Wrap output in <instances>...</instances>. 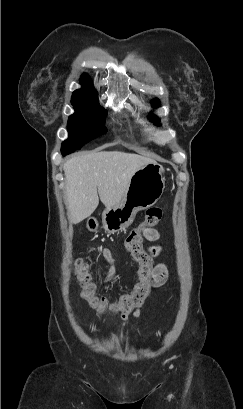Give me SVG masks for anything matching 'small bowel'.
Returning <instances> with one entry per match:
<instances>
[{"label":"small bowel","mask_w":243,"mask_h":409,"mask_svg":"<svg viewBox=\"0 0 243 409\" xmlns=\"http://www.w3.org/2000/svg\"><path fill=\"white\" fill-rule=\"evenodd\" d=\"M143 236L145 239L153 243V245L149 248V254H146L143 259L135 258L140 264V282L137 284V286H143L149 292L152 287L161 286L165 283L168 277V268L165 263L160 262L154 267L153 270L151 269L153 258L156 257L161 251L160 246L156 244L160 238L159 231L155 228H149L143 231ZM101 256L109 266L107 275L102 279L104 283H108L112 280L114 274V258L112 256V252L108 248L101 250ZM146 268H148V272H145ZM142 309L143 306L141 304L132 306L128 310L121 311L119 314V319L123 322H127L130 319L129 313L131 311H133L132 317L137 318L140 316Z\"/></svg>","instance_id":"c3829d8e"}]
</instances>
